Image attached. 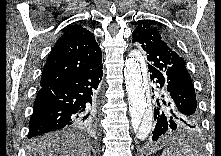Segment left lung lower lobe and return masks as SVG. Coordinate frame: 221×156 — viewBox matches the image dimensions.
Returning <instances> with one entry per match:
<instances>
[{"label":"left lung lower lobe","mask_w":221,"mask_h":156,"mask_svg":"<svg viewBox=\"0 0 221 156\" xmlns=\"http://www.w3.org/2000/svg\"><path fill=\"white\" fill-rule=\"evenodd\" d=\"M149 72L154 84L153 99L156 101L152 141L157 142L172 133L196 127L199 118L184 112L175 104L167 88L166 76L156 69H149Z\"/></svg>","instance_id":"0a47b994"}]
</instances>
